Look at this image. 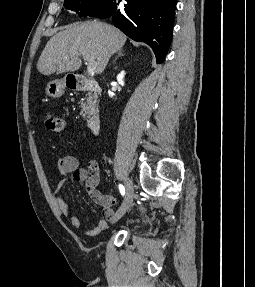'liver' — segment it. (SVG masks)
<instances>
[{
    "mask_svg": "<svg viewBox=\"0 0 255 287\" xmlns=\"http://www.w3.org/2000/svg\"><path fill=\"white\" fill-rule=\"evenodd\" d=\"M126 40L125 34L109 24H70L50 38L37 62V68L44 76L76 72L82 64L79 56L89 54L97 62L96 74H102L112 54L122 50Z\"/></svg>",
    "mask_w": 255,
    "mask_h": 287,
    "instance_id": "liver-1",
    "label": "liver"
}]
</instances>
